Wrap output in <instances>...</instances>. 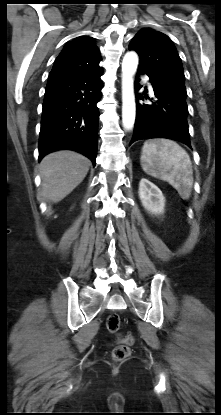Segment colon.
Here are the masks:
<instances>
[{"mask_svg": "<svg viewBox=\"0 0 221 415\" xmlns=\"http://www.w3.org/2000/svg\"><path fill=\"white\" fill-rule=\"evenodd\" d=\"M121 324L120 316L116 313L110 314L106 319V328L111 333H116ZM133 343V338L127 336L121 338L119 343L112 350V357L116 361H122L130 355V346Z\"/></svg>", "mask_w": 221, "mask_h": 415, "instance_id": "obj_1", "label": "colon"}]
</instances>
